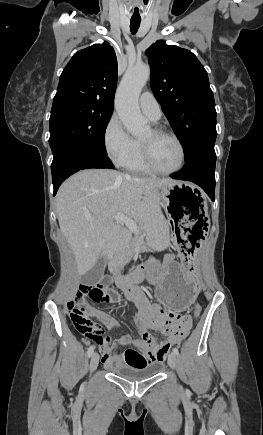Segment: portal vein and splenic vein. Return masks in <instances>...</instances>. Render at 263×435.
Here are the masks:
<instances>
[{"mask_svg": "<svg viewBox=\"0 0 263 435\" xmlns=\"http://www.w3.org/2000/svg\"><path fill=\"white\" fill-rule=\"evenodd\" d=\"M113 219H114L116 222H119V223H123V224H125L126 227H127L130 231H132V232H134V233H138L139 228H138L136 222H135L133 219H131L130 217L126 216L125 214H123V213H118V214H116L115 216H113Z\"/></svg>", "mask_w": 263, "mask_h": 435, "instance_id": "portal-vein-and-splenic-vein-1", "label": "portal vein and splenic vein"}]
</instances>
